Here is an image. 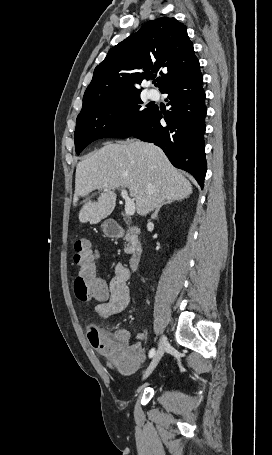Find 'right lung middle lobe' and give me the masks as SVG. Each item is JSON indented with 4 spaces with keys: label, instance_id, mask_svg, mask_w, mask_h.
Segmentation results:
<instances>
[{
    "label": "right lung middle lobe",
    "instance_id": "1",
    "mask_svg": "<svg viewBox=\"0 0 272 455\" xmlns=\"http://www.w3.org/2000/svg\"><path fill=\"white\" fill-rule=\"evenodd\" d=\"M140 94L112 101L80 113L74 133L77 154L99 138H127L141 127L156 107L142 106Z\"/></svg>",
    "mask_w": 272,
    "mask_h": 455
}]
</instances>
